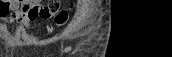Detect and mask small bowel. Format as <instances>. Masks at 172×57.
Returning <instances> with one entry per match:
<instances>
[{"label": "small bowel", "mask_w": 172, "mask_h": 57, "mask_svg": "<svg viewBox=\"0 0 172 57\" xmlns=\"http://www.w3.org/2000/svg\"><path fill=\"white\" fill-rule=\"evenodd\" d=\"M26 3L29 4V6L31 7H37V8L45 7V6H40L38 0H24V1L0 0V19L2 24L8 25L12 23H19L28 26L32 21L36 20L37 18L48 19L54 14V12H50L45 15L41 14L32 17L22 12V9ZM55 5L56 7H59V3H56Z\"/></svg>", "instance_id": "c3829d8e"}]
</instances>
